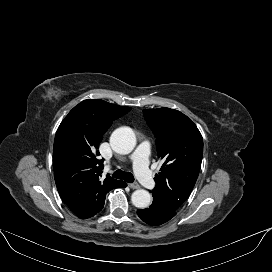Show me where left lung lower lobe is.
I'll return each instance as SVG.
<instances>
[{"mask_svg": "<svg viewBox=\"0 0 272 272\" xmlns=\"http://www.w3.org/2000/svg\"><path fill=\"white\" fill-rule=\"evenodd\" d=\"M137 214L147 224L157 226L173 218L176 215V210H173L164 203L153 199V203L149 208L137 210Z\"/></svg>", "mask_w": 272, "mask_h": 272, "instance_id": "1", "label": "left lung lower lobe"}]
</instances>
